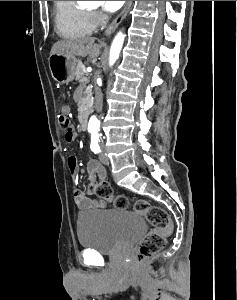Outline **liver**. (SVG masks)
<instances>
[{"label":"liver","mask_w":237,"mask_h":300,"mask_svg":"<svg viewBox=\"0 0 237 300\" xmlns=\"http://www.w3.org/2000/svg\"><path fill=\"white\" fill-rule=\"evenodd\" d=\"M94 37H83V39H76V41H57L51 49V55H74V57H87L96 61L100 55L101 47L104 45H96Z\"/></svg>","instance_id":"6515ba94"}]
</instances>
